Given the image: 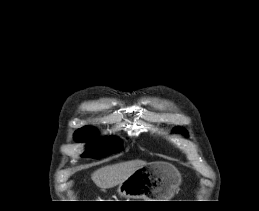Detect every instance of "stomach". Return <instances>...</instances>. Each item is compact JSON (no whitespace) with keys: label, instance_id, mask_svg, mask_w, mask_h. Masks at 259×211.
<instances>
[{"label":"stomach","instance_id":"1","mask_svg":"<svg viewBox=\"0 0 259 211\" xmlns=\"http://www.w3.org/2000/svg\"><path fill=\"white\" fill-rule=\"evenodd\" d=\"M179 183V174L173 166L154 162L135 170L118 185L116 192L125 198L167 201L174 195Z\"/></svg>","mask_w":259,"mask_h":211}]
</instances>
